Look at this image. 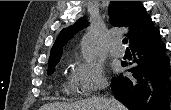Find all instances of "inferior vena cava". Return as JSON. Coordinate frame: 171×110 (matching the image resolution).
<instances>
[{
	"label": "inferior vena cava",
	"mask_w": 171,
	"mask_h": 110,
	"mask_svg": "<svg viewBox=\"0 0 171 110\" xmlns=\"http://www.w3.org/2000/svg\"><path fill=\"white\" fill-rule=\"evenodd\" d=\"M102 87H103V88L107 87V83L103 84Z\"/></svg>",
	"instance_id": "inferior-vena-cava-1"
}]
</instances>
